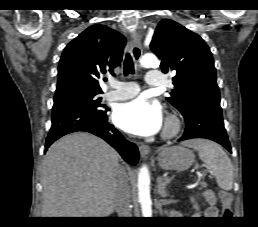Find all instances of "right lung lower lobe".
I'll list each match as a JSON object with an SVG mask.
<instances>
[{
	"instance_id": "1",
	"label": "right lung lower lobe",
	"mask_w": 258,
	"mask_h": 227,
	"mask_svg": "<svg viewBox=\"0 0 258 227\" xmlns=\"http://www.w3.org/2000/svg\"><path fill=\"white\" fill-rule=\"evenodd\" d=\"M52 126L48 134L45 150L58 138L76 131H86L99 136L113 146L131 165L138 162L139 152L134 143L128 142L112 125L107 115L99 117L74 107L52 110Z\"/></svg>"
}]
</instances>
